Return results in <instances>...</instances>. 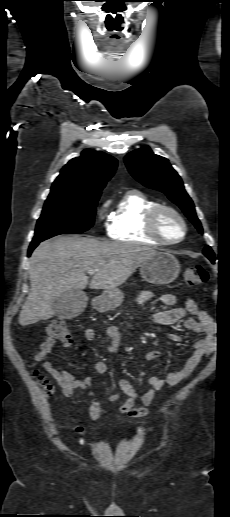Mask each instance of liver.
<instances>
[{"label": "liver", "mask_w": 230, "mask_h": 517, "mask_svg": "<svg viewBox=\"0 0 230 517\" xmlns=\"http://www.w3.org/2000/svg\"><path fill=\"white\" fill-rule=\"evenodd\" d=\"M156 250L136 244L60 236L42 242L30 258L31 289L19 315L21 326L55 315L54 301L69 290L114 289ZM96 269L89 282L86 272Z\"/></svg>", "instance_id": "obj_1"}]
</instances>
